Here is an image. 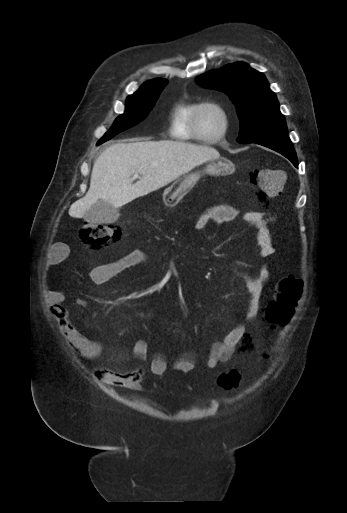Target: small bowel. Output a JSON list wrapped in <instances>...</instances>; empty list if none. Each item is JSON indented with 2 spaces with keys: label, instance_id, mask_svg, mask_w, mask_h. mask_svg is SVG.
I'll return each mask as SVG.
<instances>
[{
  "label": "small bowel",
  "instance_id": "c3829d8e",
  "mask_svg": "<svg viewBox=\"0 0 347 513\" xmlns=\"http://www.w3.org/2000/svg\"><path fill=\"white\" fill-rule=\"evenodd\" d=\"M242 217V220L252 226L255 230V240L259 246V254L263 258H269L275 254V248L272 243L269 229L265 224L264 217L260 212H247L241 216V212L229 205H219L204 210L197 219L196 229L205 230L211 224L231 223ZM66 245L63 243H54L45 258V267L50 268L61 263L65 259ZM147 254L142 249L132 250L118 259L99 265L92 269L90 278L95 284H104L115 278L125 270L146 262ZM245 269H250L248 263L237 264ZM250 300L246 307L244 318L252 321L256 318L260 307V295L264 282L268 278V270L262 267L258 274L248 275ZM45 298L50 305V309L57 317L59 329L65 338L70 342L73 348L84 358L94 360L101 355L102 346L97 341L89 339L80 333L71 323L68 310L63 305L64 293L56 287L47 286L45 288ZM250 335L242 323H236L221 338L214 341L209 349L206 366L215 368L219 364L231 360L238 346L242 342H247ZM148 344L145 340H136L131 348V352L139 360H145L147 356ZM271 359V358H270ZM266 359V360H270ZM171 369L182 373L191 372L195 368L194 356L192 353H185L177 357L170 365ZM149 369L153 374L162 375L169 369V364L165 355L157 352L152 357ZM144 375L143 368H136L128 373H119L113 370H99L96 373L97 378L108 385H118L126 388L136 389Z\"/></svg>",
  "mask_w": 347,
  "mask_h": 513
}]
</instances>
